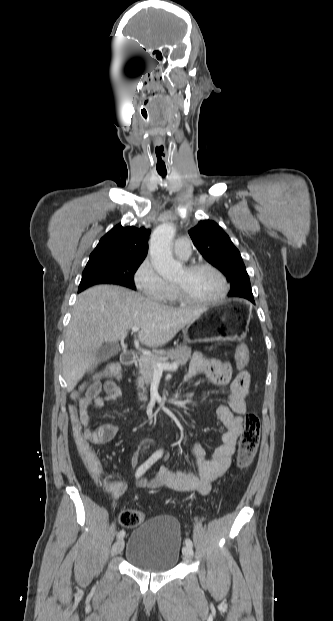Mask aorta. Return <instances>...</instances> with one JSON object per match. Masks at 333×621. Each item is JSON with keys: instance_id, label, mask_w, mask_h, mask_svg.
I'll use <instances>...</instances> for the list:
<instances>
[{"instance_id": "obj_1", "label": "aorta", "mask_w": 333, "mask_h": 621, "mask_svg": "<svg viewBox=\"0 0 333 621\" xmlns=\"http://www.w3.org/2000/svg\"><path fill=\"white\" fill-rule=\"evenodd\" d=\"M176 229L170 223L159 225L152 233L150 239V255L158 274L163 278H173L183 272L182 264L175 261L171 252V243ZM163 455V450L156 452Z\"/></svg>"}]
</instances>
